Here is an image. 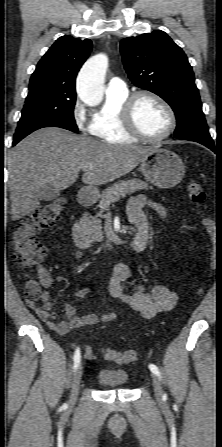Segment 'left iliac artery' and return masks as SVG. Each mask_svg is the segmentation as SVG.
Listing matches in <instances>:
<instances>
[{
    "mask_svg": "<svg viewBox=\"0 0 222 447\" xmlns=\"http://www.w3.org/2000/svg\"><path fill=\"white\" fill-rule=\"evenodd\" d=\"M149 369L151 370V372H153L155 375H157L158 377H161L160 375V371H159V369H158V367L156 366V365H154V364H150L149 365ZM164 396H166V395H164Z\"/></svg>",
    "mask_w": 222,
    "mask_h": 447,
    "instance_id": "1",
    "label": "left iliac artery"
}]
</instances>
